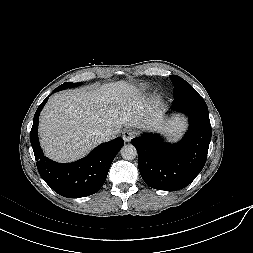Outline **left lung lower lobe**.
<instances>
[{
  "mask_svg": "<svg viewBox=\"0 0 253 253\" xmlns=\"http://www.w3.org/2000/svg\"><path fill=\"white\" fill-rule=\"evenodd\" d=\"M171 109L189 117V130L180 142L167 144L158 135L148 133L131 141L138 152L143 180L158 190L188 186L203 169L211 140L208 108L197 92L174 100Z\"/></svg>",
  "mask_w": 253,
  "mask_h": 253,
  "instance_id": "1",
  "label": "left lung lower lobe"
}]
</instances>
